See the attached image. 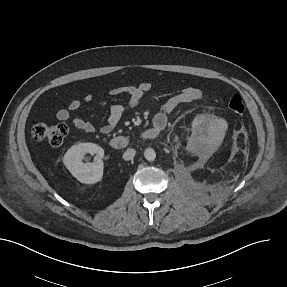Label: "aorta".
I'll use <instances>...</instances> for the list:
<instances>
[{"label": "aorta", "instance_id": "obj_1", "mask_svg": "<svg viewBox=\"0 0 287 287\" xmlns=\"http://www.w3.org/2000/svg\"><path fill=\"white\" fill-rule=\"evenodd\" d=\"M144 157H145L146 160H148V161H154L155 158H156V153H155L154 149H152V148H147V149L144 151Z\"/></svg>", "mask_w": 287, "mask_h": 287}]
</instances>
